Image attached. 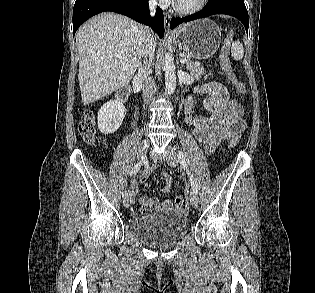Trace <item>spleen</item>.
Returning a JSON list of instances; mask_svg holds the SVG:
<instances>
[{
	"label": "spleen",
	"mask_w": 315,
	"mask_h": 293,
	"mask_svg": "<svg viewBox=\"0 0 315 293\" xmlns=\"http://www.w3.org/2000/svg\"><path fill=\"white\" fill-rule=\"evenodd\" d=\"M231 53H232L234 60H236V61L241 60L243 58L244 48H243V45L240 41H234L232 43Z\"/></svg>",
	"instance_id": "1"
}]
</instances>
